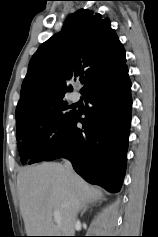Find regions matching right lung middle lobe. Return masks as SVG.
<instances>
[{"label": "right lung middle lobe", "instance_id": "right-lung-middle-lobe-1", "mask_svg": "<svg viewBox=\"0 0 158 237\" xmlns=\"http://www.w3.org/2000/svg\"><path fill=\"white\" fill-rule=\"evenodd\" d=\"M68 107L63 100L47 105L37 114L16 118V138L22 163L32 159L47 142L51 131L58 130L67 122L74 111L66 112Z\"/></svg>", "mask_w": 158, "mask_h": 237}]
</instances>
